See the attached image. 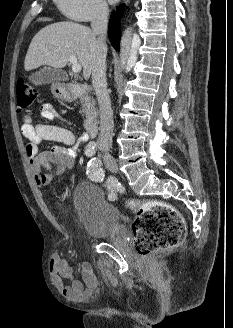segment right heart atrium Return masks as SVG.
Returning <instances> with one entry per match:
<instances>
[{
	"instance_id": "d8ad5b80",
	"label": "right heart atrium",
	"mask_w": 233,
	"mask_h": 328,
	"mask_svg": "<svg viewBox=\"0 0 233 328\" xmlns=\"http://www.w3.org/2000/svg\"><path fill=\"white\" fill-rule=\"evenodd\" d=\"M56 3L66 17L80 22L102 18L108 12L105 0H56Z\"/></svg>"
}]
</instances>
